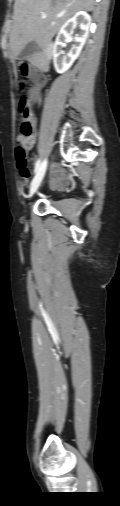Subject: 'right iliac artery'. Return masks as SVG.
<instances>
[{
  "instance_id": "obj_1",
  "label": "right iliac artery",
  "mask_w": 120,
  "mask_h": 506,
  "mask_svg": "<svg viewBox=\"0 0 120 506\" xmlns=\"http://www.w3.org/2000/svg\"><path fill=\"white\" fill-rule=\"evenodd\" d=\"M46 167H47V162H46V161H45L44 163H42V164H41L40 160H38V161L36 162V165H35V170H34V173H35L36 175L43 176V172H42V173H39V171H40V168H43V171H45Z\"/></svg>"
}]
</instances>
